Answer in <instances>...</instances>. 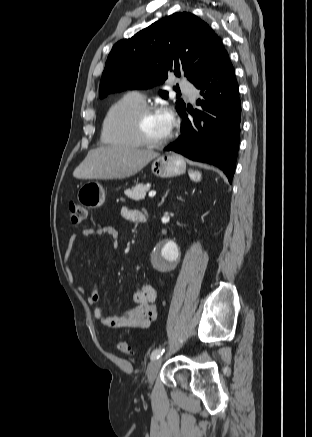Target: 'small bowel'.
<instances>
[{
  "instance_id": "c3829d8e",
  "label": "small bowel",
  "mask_w": 312,
  "mask_h": 437,
  "mask_svg": "<svg viewBox=\"0 0 312 437\" xmlns=\"http://www.w3.org/2000/svg\"><path fill=\"white\" fill-rule=\"evenodd\" d=\"M121 215L126 220L135 223H142L143 220L146 219L142 212L128 206L122 208ZM92 235H108L112 239L115 247L119 245V233L113 226H103L98 229H84L79 234H74L71 240L74 241L79 236L88 237ZM78 290L83 292L84 288L79 286ZM87 300L93 307V315L96 320L102 326L108 328H148L155 320L157 314V291L150 284H143L135 291V307L126 309L114 316L105 312L100 302V292L96 284L93 285Z\"/></svg>"
}]
</instances>
